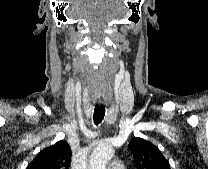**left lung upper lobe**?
Here are the masks:
<instances>
[{
	"instance_id": "obj_1",
	"label": "left lung upper lobe",
	"mask_w": 208,
	"mask_h": 169,
	"mask_svg": "<svg viewBox=\"0 0 208 169\" xmlns=\"http://www.w3.org/2000/svg\"><path fill=\"white\" fill-rule=\"evenodd\" d=\"M137 169H170L169 162L151 142L134 137L128 144Z\"/></svg>"
}]
</instances>
